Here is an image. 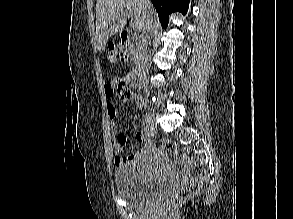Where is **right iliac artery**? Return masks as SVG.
Here are the masks:
<instances>
[{
	"label": "right iliac artery",
	"mask_w": 293,
	"mask_h": 219,
	"mask_svg": "<svg viewBox=\"0 0 293 219\" xmlns=\"http://www.w3.org/2000/svg\"><path fill=\"white\" fill-rule=\"evenodd\" d=\"M144 132H145L146 134H149V128H148L147 126L144 127Z\"/></svg>",
	"instance_id": "82829eb1"
}]
</instances>
